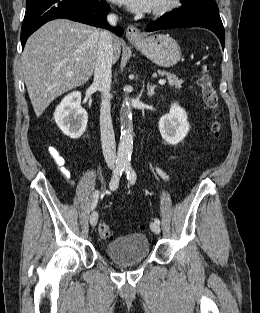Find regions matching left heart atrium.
Instances as JSON below:
<instances>
[{
	"label": "left heart atrium",
	"instance_id": "left-heart-atrium-1",
	"mask_svg": "<svg viewBox=\"0 0 260 313\" xmlns=\"http://www.w3.org/2000/svg\"><path fill=\"white\" fill-rule=\"evenodd\" d=\"M126 6L132 12H146L152 9L154 0H112Z\"/></svg>",
	"mask_w": 260,
	"mask_h": 313
}]
</instances>
